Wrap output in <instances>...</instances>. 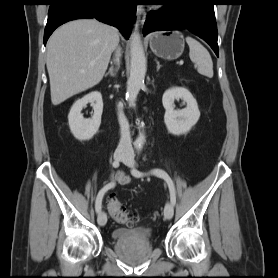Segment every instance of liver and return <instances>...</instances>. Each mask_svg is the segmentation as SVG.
Wrapping results in <instances>:
<instances>
[{"instance_id":"6515ba94","label":"liver","mask_w":278,"mask_h":278,"mask_svg":"<svg viewBox=\"0 0 278 278\" xmlns=\"http://www.w3.org/2000/svg\"><path fill=\"white\" fill-rule=\"evenodd\" d=\"M119 43L116 28L95 19H78L54 31L47 43L51 101L59 105L97 85Z\"/></svg>"}]
</instances>
